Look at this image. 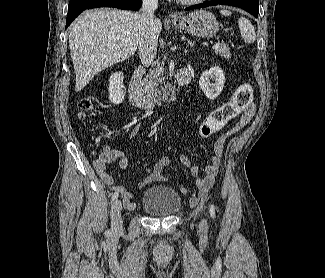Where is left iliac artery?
<instances>
[{"label": "left iliac artery", "mask_w": 325, "mask_h": 278, "mask_svg": "<svg viewBox=\"0 0 325 278\" xmlns=\"http://www.w3.org/2000/svg\"><path fill=\"white\" fill-rule=\"evenodd\" d=\"M210 213H211V216L214 218L215 217V207L213 204L210 205Z\"/></svg>", "instance_id": "44dca946"}]
</instances>
